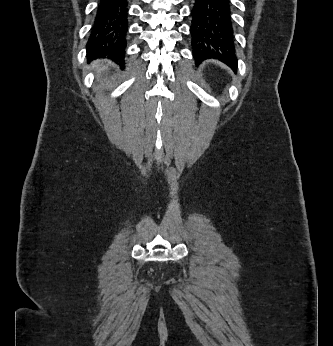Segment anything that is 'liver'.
Masks as SVG:
<instances>
[{
    "instance_id": "liver-1",
    "label": "liver",
    "mask_w": 333,
    "mask_h": 346,
    "mask_svg": "<svg viewBox=\"0 0 333 346\" xmlns=\"http://www.w3.org/2000/svg\"><path fill=\"white\" fill-rule=\"evenodd\" d=\"M93 67L95 68L97 75H100L101 72L108 69V64H105L104 61L97 60L93 63Z\"/></svg>"
}]
</instances>
